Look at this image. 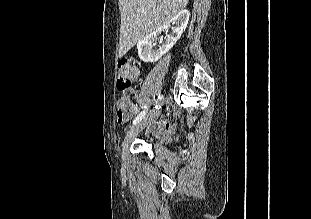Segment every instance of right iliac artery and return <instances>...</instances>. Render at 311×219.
Masks as SVG:
<instances>
[{
	"label": "right iliac artery",
	"mask_w": 311,
	"mask_h": 219,
	"mask_svg": "<svg viewBox=\"0 0 311 219\" xmlns=\"http://www.w3.org/2000/svg\"><path fill=\"white\" fill-rule=\"evenodd\" d=\"M161 98H162V97H159L158 99H161ZM156 108H157V106H156ZM146 112H147V110H144L143 112H141V113L134 119L133 124H136V123H138L139 121H141L142 118L145 116Z\"/></svg>",
	"instance_id": "1"
}]
</instances>
